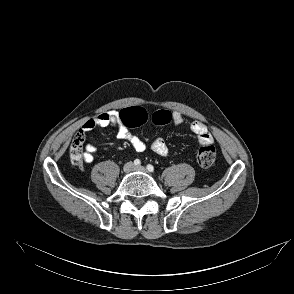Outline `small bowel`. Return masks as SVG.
<instances>
[{
    "label": "small bowel",
    "instance_id": "small-bowel-1",
    "mask_svg": "<svg viewBox=\"0 0 294 294\" xmlns=\"http://www.w3.org/2000/svg\"><path fill=\"white\" fill-rule=\"evenodd\" d=\"M171 114L172 122L175 125H181L184 123V117L180 112L172 111ZM119 115L120 112L117 110H110L98 114L97 116L85 122L82 132L85 133L91 131L96 127H115L117 129V137L119 139L128 141L135 151L143 152L147 148L146 143L140 137L128 131L126 126L121 123ZM190 128L192 132L197 135L198 142L201 146L212 144V135L210 134L207 126L204 123L200 121H194L190 124ZM150 148L153 152L160 156H166L169 151L166 142L162 138L154 139L150 144ZM95 153L96 147L92 144H88L84 153V161L87 163H91L94 159Z\"/></svg>",
    "mask_w": 294,
    "mask_h": 294
}]
</instances>
